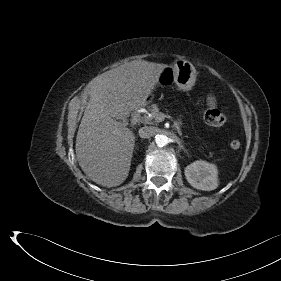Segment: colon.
I'll use <instances>...</instances> for the list:
<instances>
[{"mask_svg":"<svg viewBox=\"0 0 281 281\" xmlns=\"http://www.w3.org/2000/svg\"><path fill=\"white\" fill-rule=\"evenodd\" d=\"M204 120L210 126H221L226 122L227 117L222 110H219L218 108H209L204 114ZM240 146L241 143L239 140L233 139L230 141V147L232 149H239Z\"/></svg>","mask_w":281,"mask_h":281,"instance_id":"5ec220e1","label":"colon"}]
</instances>
